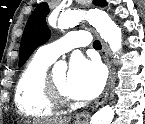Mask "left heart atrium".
Returning <instances> with one entry per match:
<instances>
[{
    "mask_svg": "<svg viewBox=\"0 0 145 124\" xmlns=\"http://www.w3.org/2000/svg\"><path fill=\"white\" fill-rule=\"evenodd\" d=\"M105 76L101 65L82 56L72 58L67 73V92L70 97L89 100L102 90Z\"/></svg>",
    "mask_w": 145,
    "mask_h": 124,
    "instance_id": "1",
    "label": "left heart atrium"
}]
</instances>
